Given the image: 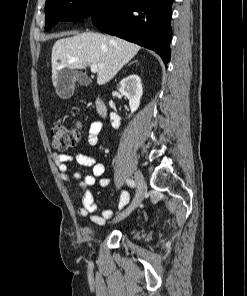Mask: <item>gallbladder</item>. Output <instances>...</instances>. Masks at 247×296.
<instances>
[{
    "instance_id": "obj_1",
    "label": "gallbladder",
    "mask_w": 247,
    "mask_h": 296,
    "mask_svg": "<svg viewBox=\"0 0 247 296\" xmlns=\"http://www.w3.org/2000/svg\"><path fill=\"white\" fill-rule=\"evenodd\" d=\"M76 79L82 84V85H89L91 82V79L83 74H74L69 69H63L57 79V93L58 96L62 99H68L70 98L75 90V81Z\"/></svg>"
}]
</instances>
